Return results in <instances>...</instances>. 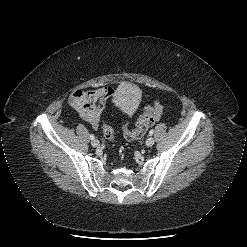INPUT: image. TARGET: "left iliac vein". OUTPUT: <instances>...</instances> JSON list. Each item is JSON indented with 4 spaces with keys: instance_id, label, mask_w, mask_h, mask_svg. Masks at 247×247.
Here are the masks:
<instances>
[{
    "instance_id": "4c4485c4",
    "label": "left iliac vein",
    "mask_w": 247,
    "mask_h": 247,
    "mask_svg": "<svg viewBox=\"0 0 247 247\" xmlns=\"http://www.w3.org/2000/svg\"><path fill=\"white\" fill-rule=\"evenodd\" d=\"M154 144V138L153 137H148L146 140V145L148 147H151Z\"/></svg>"
}]
</instances>
